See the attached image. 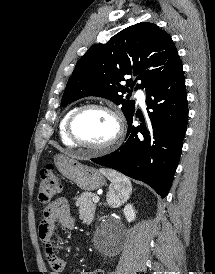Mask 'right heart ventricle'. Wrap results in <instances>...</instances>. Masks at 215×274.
<instances>
[{
    "label": "right heart ventricle",
    "instance_id": "obj_1",
    "mask_svg": "<svg viewBox=\"0 0 215 274\" xmlns=\"http://www.w3.org/2000/svg\"><path fill=\"white\" fill-rule=\"evenodd\" d=\"M76 108H73L71 110H69L65 115L64 117L62 118L60 124H59V135H60V139L62 141V143L66 146H69V147H74L76 146L71 140L70 138L68 137L67 135V122H68V119L70 117V115L73 113V111L75 110Z\"/></svg>",
    "mask_w": 215,
    "mask_h": 274
}]
</instances>
